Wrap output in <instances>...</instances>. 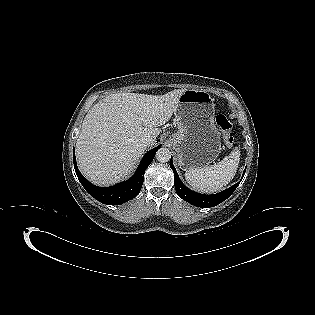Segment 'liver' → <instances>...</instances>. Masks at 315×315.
<instances>
[{"label":"liver","instance_id":"1","mask_svg":"<svg viewBox=\"0 0 315 315\" xmlns=\"http://www.w3.org/2000/svg\"><path fill=\"white\" fill-rule=\"evenodd\" d=\"M185 90L164 95L115 93L95 104L85 116L76 142L82 174L100 186L127 177L147 148L142 138L151 136L156 142L161 132L157 127L170 120Z\"/></svg>","mask_w":315,"mask_h":315}]
</instances>
